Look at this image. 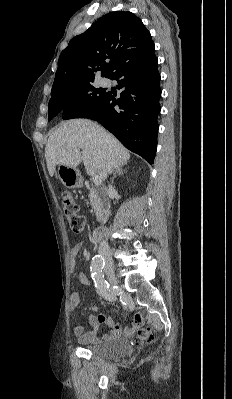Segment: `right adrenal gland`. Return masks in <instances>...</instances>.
<instances>
[{"mask_svg": "<svg viewBox=\"0 0 232 399\" xmlns=\"http://www.w3.org/2000/svg\"><path fill=\"white\" fill-rule=\"evenodd\" d=\"M123 166H126V164H123ZM123 166H119V168H115V174L111 180V184H114V180L116 178V174H118V176H123Z\"/></svg>", "mask_w": 232, "mask_h": 399, "instance_id": "obj_1", "label": "right adrenal gland"}]
</instances>
